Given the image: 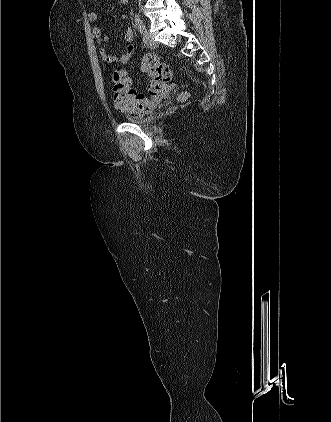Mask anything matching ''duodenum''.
Instances as JSON below:
<instances>
[{
    "label": "duodenum",
    "instance_id": "1",
    "mask_svg": "<svg viewBox=\"0 0 331 422\" xmlns=\"http://www.w3.org/2000/svg\"><path fill=\"white\" fill-rule=\"evenodd\" d=\"M123 2L127 3V2H128V0H123Z\"/></svg>",
    "mask_w": 331,
    "mask_h": 422
}]
</instances>
